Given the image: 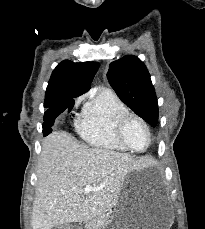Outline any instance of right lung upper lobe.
I'll list each match as a JSON object with an SVG mask.
<instances>
[{
    "label": "right lung upper lobe",
    "instance_id": "obj_1",
    "mask_svg": "<svg viewBox=\"0 0 205 229\" xmlns=\"http://www.w3.org/2000/svg\"><path fill=\"white\" fill-rule=\"evenodd\" d=\"M98 68L99 63L97 62L62 61L52 72L44 106H53L87 92Z\"/></svg>",
    "mask_w": 205,
    "mask_h": 229
}]
</instances>
